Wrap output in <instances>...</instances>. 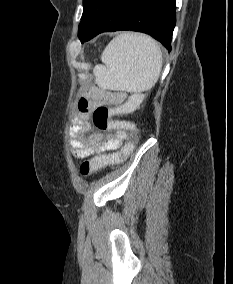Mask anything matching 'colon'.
<instances>
[{
  "instance_id": "colon-1",
  "label": "colon",
  "mask_w": 233,
  "mask_h": 284,
  "mask_svg": "<svg viewBox=\"0 0 233 284\" xmlns=\"http://www.w3.org/2000/svg\"><path fill=\"white\" fill-rule=\"evenodd\" d=\"M144 94L140 92L133 93L128 100L117 108H109L107 106H98L92 113V120L96 128L99 130H114L125 128L127 136L124 144L116 152L108 155H98L90 160H86L81 164L80 173L86 177L101 169L102 167L125 160L133 151L138 138L136 127L125 126L122 121L112 119L115 114H128L138 109Z\"/></svg>"
}]
</instances>
